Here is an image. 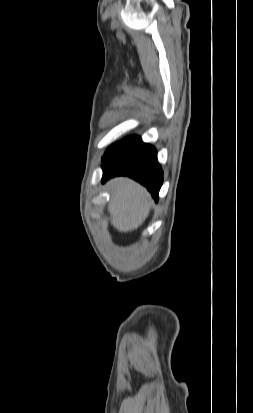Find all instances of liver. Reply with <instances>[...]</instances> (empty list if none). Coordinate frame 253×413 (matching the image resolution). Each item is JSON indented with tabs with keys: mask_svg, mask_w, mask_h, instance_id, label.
<instances>
[{
	"mask_svg": "<svg viewBox=\"0 0 253 413\" xmlns=\"http://www.w3.org/2000/svg\"><path fill=\"white\" fill-rule=\"evenodd\" d=\"M107 185L111 192L108 211L112 225L120 232H129L141 226L151 208L147 190L125 177L111 179Z\"/></svg>",
	"mask_w": 253,
	"mask_h": 413,
	"instance_id": "obj_1",
	"label": "liver"
}]
</instances>
